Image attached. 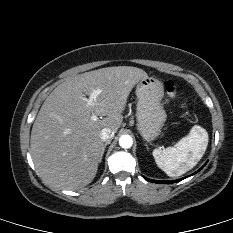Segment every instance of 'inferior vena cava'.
Instances as JSON below:
<instances>
[{
	"label": "inferior vena cava",
	"mask_w": 233,
	"mask_h": 233,
	"mask_svg": "<svg viewBox=\"0 0 233 233\" xmlns=\"http://www.w3.org/2000/svg\"><path fill=\"white\" fill-rule=\"evenodd\" d=\"M101 139L103 142H110L114 137V132L109 128H104L100 133Z\"/></svg>",
	"instance_id": "obj_1"
}]
</instances>
